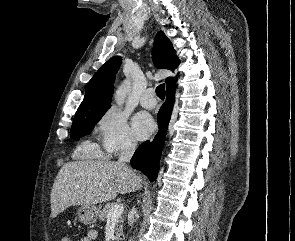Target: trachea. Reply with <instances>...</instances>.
Masks as SVG:
<instances>
[{
    "instance_id": "trachea-1",
    "label": "trachea",
    "mask_w": 295,
    "mask_h": 241,
    "mask_svg": "<svg viewBox=\"0 0 295 241\" xmlns=\"http://www.w3.org/2000/svg\"><path fill=\"white\" fill-rule=\"evenodd\" d=\"M156 94L160 99H164L165 97V85L161 84L156 88Z\"/></svg>"
}]
</instances>
